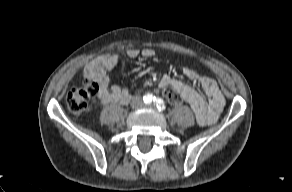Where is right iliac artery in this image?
<instances>
[{
  "mask_svg": "<svg viewBox=\"0 0 292 192\" xmlns=\"http://www.w3.org/2000/svg\"><path fill=\"white\" fill-rule=\"evenodd\" d=\"M153 100H154V97L152 94H147L144 96V102L146 104H151Z\"/></svg>",
  "mask_w": 292,
  "mask_h": 192,
  "instance_id": "obj_1",
  "label": "right iliac artery"
}]
</instances>
